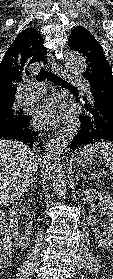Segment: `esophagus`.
<instances>
[{
  "instance_id": "34e87169",
  "label": "esophagus",
  "mask_w": 113,
  "mask_h": 279,
  "mask_svg": "<svg viewBox=\"0 0 113 279\" xmlns=\"http://www.w3.org/2000/svg\"><path fill=\"white\" fill-rule=\"evenodd\" d=\"M48 58L50 60V65H51L53 72L57 75H63L64 71H63L62 66H60L59 64H57L55 62L51 53L48 54ZM74 119H75L74 117L68 116L62 120L61 124L62 125L71 124L74 121Z\"/></svg>"
}]
</instances>
